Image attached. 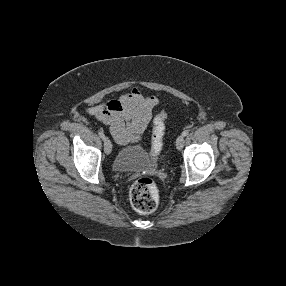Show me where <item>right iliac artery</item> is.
<instances>
[{
    "mask_svg": "<svg viewBox=\"0 0 286 286\" xmlns=\"http://www.w3.org/2000/svg\"><path fill=\"white\" fill-rule=\"evenodd\" d=\"M98 134L104 140V138H105L104 132L103 131H99Z\"/></svg>",
    "mask_w": 286,
    "mask_h": 286,
    "instance_id": "obj_1",
    "label": "right iliac artery"
}]
</instances>
